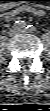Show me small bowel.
<instances>
[{
	"label": "small bowel",
	"instance_id": "c3829d8e",
	"mask_svg": "<svg viewBox=\"0 0 50 111\" xmlns=\"http://www.w3.org/2000/svg\"><path fill=\"white\" fill-rule=\"evenodd\" d=\"M22 13H30V14H33V15H43V14H45V12L41 9H36V8L29 7V6H20V7H17L15 9H13V10L4 12L2 17H3L4 20L10 21L15 16H17L19 14H22Z\"/></svg>",
	"mask_w": 50,
	"mask_h": 111
}]
</instances>
